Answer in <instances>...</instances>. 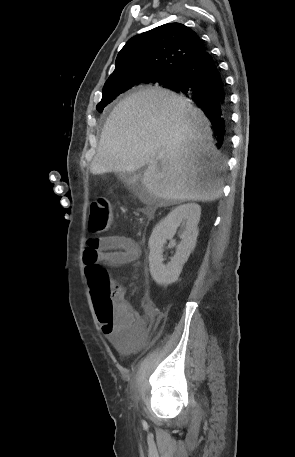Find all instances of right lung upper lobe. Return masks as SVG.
Here are the masks:
<instances>
[{
    "label": "right lung upper lobe",
    "mask_w": 295,
    "mask_h": 457,
    "mask_svg": "<svg viewBox=\"0 0 295 457\" xmlns=\"http://www.w3.org/2000/svg\"><path fill=\"white\" fill-rule=\"evenodd\" d=\"M206 49L198 35L181 23L158 26L126 42L103 90L124 84L131 85L127 90L160 84L163 79L176 76L189 60Z\"/></svg>",
    "instance_id": "1"
}]
</instances>
